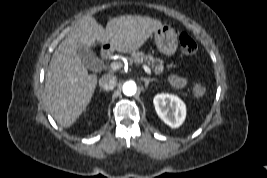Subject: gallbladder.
I'll return each mask as SVG.
<instances>
[{"label":"gallbladder","mask_w":267,"mask_h":178,"mask_svg":"<svg viewBox=\"0 0 267 178\" xmlns=\"http://www.w3.org/2000/svg\"><path fill=\"white\" fill-rule=\"evenodd\" d=\"M81 57L83 58L84 62L87 64L95 60V56L90 51H87V50L81 51Z\"/></svg>","instance_id":"obj_1"}]
</instances>
